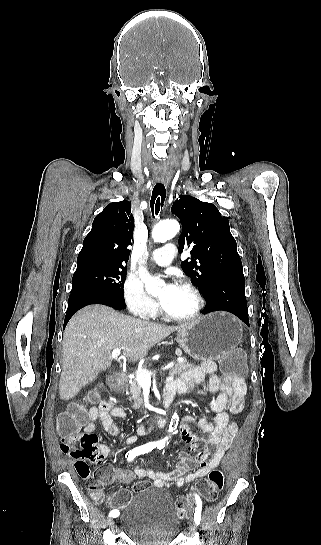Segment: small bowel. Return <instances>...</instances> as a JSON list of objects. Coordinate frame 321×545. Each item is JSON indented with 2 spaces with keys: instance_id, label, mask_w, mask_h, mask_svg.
Wrapping results in <instances>:
<instances>
[{
  "instance_id": "small-bowel-1",
  "label": "small bowel",
  "mask_w": 321,
  "mask_h": 545,
  "mask_svg": "<svg viewBox=\"0 0 321 545\" xmlns=\"http://www.w3.org/2000/svg\"><path fill=\"white\" fill-rule=\"evenodd\" d=\"M216 371V363L208 360L201 366L189 368L183 372L179 380L174 381L179 387L180 393H187L193 389L194 384L202 383L205 376L210 374L211 377L206 387L209 392L217 393V395L207 402V406L215 413L214 421L186 416L181 425V437L187 444V450L180 453L179 461L174 469L165 473L136 467L133 470L134 475L150 479L157 488H168L174 485L181 489L196 479L206 476L220 464L237 432V425L230 420L229 414H238L242 411L247 386L243 378H233L226 374L218 375ZM125 415L126 412L123 408L114 406L111 401H104L99 407L90 409L84 431L92 433L95 423L99 421L106 433L118 436L120 432L114 424L113 418H121ZM136 440V436H129L125 442L133 444ZM99 452V457L92 458L94 464H101L103 459L113 454L112 449L104 444L99 445ZM190 452H196V455L192 456ZM81 466L86 473L90 474L86 460L78 459L75 462L79 474ZM196 466L197 468L194 469ZM97 471L106 474L104 484L127 481L132 475L122 468L108 464L102 465Z\"/></svg>"
}]
</instances>
